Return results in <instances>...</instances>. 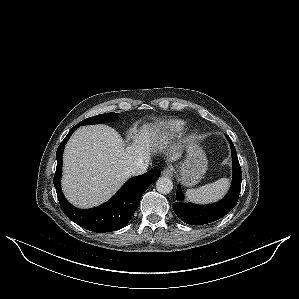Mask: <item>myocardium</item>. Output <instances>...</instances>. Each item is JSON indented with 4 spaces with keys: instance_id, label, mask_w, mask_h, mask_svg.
<instances>
[{
    "instance_id": "myocardium-1",
    "label": "myocardium",
    "mask_w": 299,
    "mask_h": 299,
    "mask_svg": "<svg viewBox=\"0 0 299 299\" xmlns=\"http://www.w3.org/2000/svg\"><path fill=\"white\" fill-rule=\"evenodd\" d=\"M195 137H196V132H189L187 135V141L191 142L195 139Z\"/></svg>"
}]
</instances>
